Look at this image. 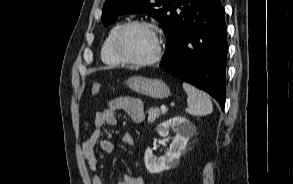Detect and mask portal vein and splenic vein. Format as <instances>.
Masks as SVG:
<instances>
[{
  "instance_id": "1",
  "label": "portal vein and splenic vein",
  "mask_w": 293,
  "mask_h": 184,
  "mask_svg": "<svg viewBox=\"0 0 293 184\" xmlns=\"http://www.w3.org/2000/svg\"><path fill=\"white\" fill-rule=\"evenodd\" d=\"M160 109H161V111H166V106L162 105Z\"/></svg>"
}]
</instances>
